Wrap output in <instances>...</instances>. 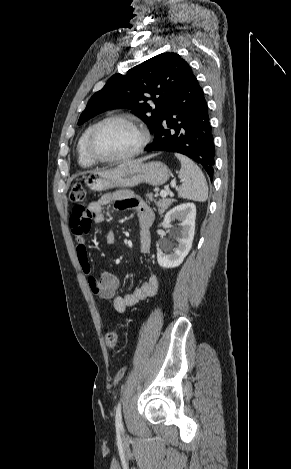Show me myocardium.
I'll list each match as a JSON object with an SVG mask.
<instances>
[{"mask_svg": "<svg viewBox=\"0 0 291 469\" xmlns=\"http://www.w3.org/2000/svg\"><path fill=\"white\" fill-rule=\"evenodd\" d=\"M113 121H123L126 122L130 125H132L134 128L138 130L140 133L141 139L138 145L129 153L117 156V157H102L100 156L94 149V140L95 137L98 133V131L106 124L113 122ZM150 141V134L147 130V128L135 117L127 115V114H116L112 115L109 117L104 118L103 120L99 121L96 123L91 131L89 132L87 142H86V150L88 155L96 162L99 163H117V162H122L126 161L128 159H131L135 156H137L139 153H141L146 146L148 145Z\"/></svg>", "mask_w": 291, "mask_h": 469, "instance_id": "myocardium-1", "label": "myocardium"}]
</instances>
